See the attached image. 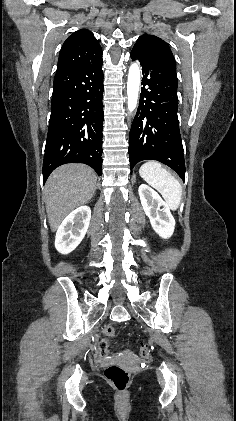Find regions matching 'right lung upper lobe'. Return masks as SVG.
Returning <instances> with one entry per match:
<instances>
[{"label":"right lung upper lobe","mask_w":236,"mask_h":421,"mask_svg":"<svg viewBox=\"0 0 236 421\" xmlns=\"http://www.w3.org/2000/svg\"><path fill=\"white\" fill-rule=\"evenodd\" d=\"M101 57L102 50L94 34L81 29L70 35L64 42L60 50L56 72L87 64Z\"/></svg>","instance_id":"1"}]
</instances>
